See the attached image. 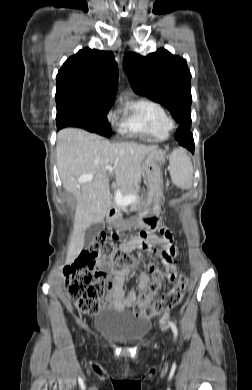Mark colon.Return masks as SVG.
Listing matches in <instances>:
<instances>
[{
  "label": "colon",
  "mask_w": 252,
  "mask_h": 390,
  "mask_svg": "<svg viewBox=\"0 0 252 390\" xmlns=\"http://www.w3.org/2000/svg\"><path fill=\"white\" fill-rule=\"evenodd\" d=\"M143 248L154 249L151 246L148 231L143 232ZM115 233H102L96 237L88 251L81 254L77 261L65 270L68 290L77 308L84 314L95 315L100 309V301L104 294V279L106 275L97 270L99 261H104L118 270H127L135 263V257L123 247L116 244ZM165 261L171 257L165 255ZM151 272V282L147 288L139 293L134 306V313L138 317H148L161 314L178 305L186 292L187 279L181 276L177 283L159 300L151 302L161 283L166 279H174L176 270H161L154 263L148 264Z\"/></svg>",
  "instance_id": "1"
}]
</instances>
